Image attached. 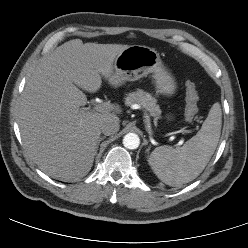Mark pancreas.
<instances>
[{
  "label": "pancreas",
  "instance_id": "1",
  "mask_svg": "<svg viewBox=\"0 0 248 248\" xmlns=\"http://www.w3.org/2000/svg\"><path fill=\"white\" fill-rule=\"evenodd\" d=\"M134 103H139L143 108L149 112L151 116L154 117L156 122L161 114V109L157 104V100L151 96V94L144 92L143 90L138 89L135 92H131L125 98V104L130 106Z\"/></svg>",
  "mask_w": 248,
  "mask_h": 248
}]
</instances>
